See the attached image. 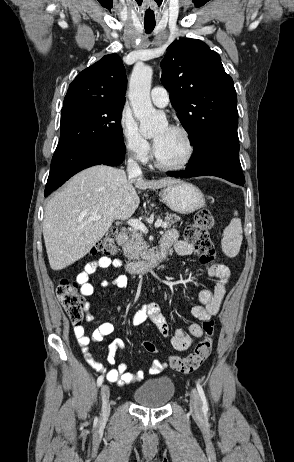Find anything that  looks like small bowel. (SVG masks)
Segmentation results:
<instances>
[{"mask_svg": "<svg viewBox=\"0 0 294 462\" xmlns=\"http://www.w3.org/2000/svg\"><path fill=\"white\" fill-rule=\"evenodd\" d=\"M162 242L169 245V248L173 247L177 254L181 256L192 255L196 252L189 243L178 240L176 230L168 231L164 235ZM122 266L123 263L121 260L112 259L110 257H101L99 259L89 261L85 264L83 270L76 278V282L80 288V294L84 297L93 295L94 286L90 282V276L98 269L109 267L120 268ZM208 274L215 281V286L213 290L204 289L199 291L197 294L198 304L192 308L193 316L201 321L210 320L211 317L218 312L225 297L227 283L230 278L229 268L219 262L210 264ZM113 284L118 287H125L127 285V277L120 275L113 280ZM108 285L109 282L106 280L101 282V286L103 287ZM85 306L87 310V321H94L95 316L89 310L90 303L87 302ZM147 320H150L164 337L170 339L171 345L177 351L187 350L192 345L194 339L201 337L203 334L202 327L198 323H190L185 327H177L174 333H171L168 321L163 314L162 307L157 301H152L142 305L133 315L131 323L133 326H139ZM113 330L114 326L112 323L102 322L92 332L90 337L86 335L83 326H76L74 328V334L81 346L85 360L96 371L103 373L108 381L119 386L140 381L143 378V372H128L127 365L125 363H119L116 367L106 370L91 353L90 343L102 341L106 336L110 335ZM118 349L125 350V343L122 339H116L108 346L107 362L110 365L116 364V352ZM166 366L167 365L164 362L154 360L148 370V373L150 375H157L161 373Z\"/></svg>", "mask_w": 294, "mask_h": 462, "instance_id": "c3829d8e", "label": "small bowel"}]
</instances>
